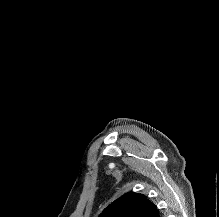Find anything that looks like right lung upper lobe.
Wrapping results in <instances>:
<instances>
[{"instance_id":"obj_1","label":"right lung upper lobe","mask_w":219,"mask_h":217,"mask_svg":"<svg viewBox=\"0 0 219 217\" xmlns=\"http://www.w3.org/2000/svg\"><path fill=\"white\" fill-rule=\"evenodd\" d=\"M99 217H160L156 206L143 194L129 192L111 203Z\"/></svg>"}]
</instances>
